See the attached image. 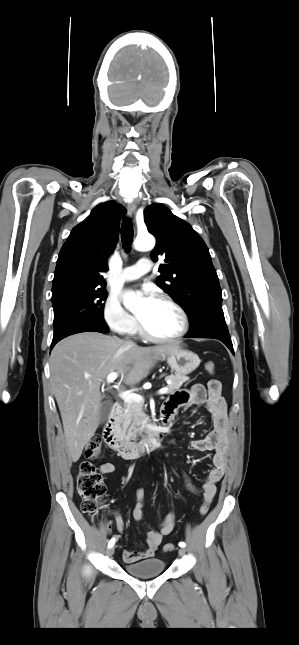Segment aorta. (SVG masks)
<instances>
[{
  "mask_svg": "<svg viewBox=\"0 0 299 645\" xmlns=\"http://www.w3.org/2000/svg\"><path fill=\"white\" fill-rule=\"evenodd\" d=\"M155 246V239L153 236L147 234L144 236H138L135 240L134 247L138 251H148L153 249ZM124 305L130 309V311H135L139 307V302L133 296L124 298Z\"/></svg>",
  "mask_w": 299,
  "mask_h": 645,
  "instance_id": "1",
  "label": "aorta"
}]
</instances>
